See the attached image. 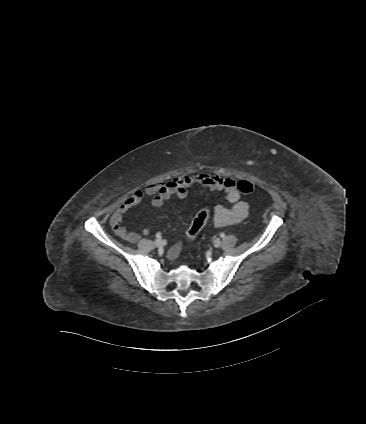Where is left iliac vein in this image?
Returning <instances> with one entry per match:
<instances>
[{"mask_svg":"<svg viewBox=\"0 0 366 424\" xmlns=\"http://www.w3.org/2000/svg\"><path fill=\"white\" fill-rule=\"evenodd\" d=\"M213 245H214L215 247H220V245H221V239H220V238H216V239L214 240V242H213Z\"/></svg>","mask_w":366,"mask_h":424,"instance_id":"1","label":"left iliac vein"}]
</instances>
